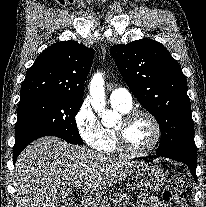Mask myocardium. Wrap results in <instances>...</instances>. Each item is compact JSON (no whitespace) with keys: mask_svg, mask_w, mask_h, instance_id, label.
Instances as JSON below:
<instances>
[{"mask_svg":"<svg viewBox=\"0 0 206 207\" xmlns=\"http://www.w3.org/2000/svg\"><path fill=\"white\" fill-rule=\"evenodd\" d=\"M139 117H146L150 120L154 128V137L151 144L146 149L136 151L128 146L125 137V129L131 121ZM114 132L118 149L120 150V152L130 157H145L151 154L157 148L162 137V128L157 118L152 113L146 110L138 109L125 113L121 118L120 124L114 128Z\"/></svg>","mask_w":206,"mask_h":207,"instance_id":"myocardium-1","label":"myocardium"}]
</instances>
